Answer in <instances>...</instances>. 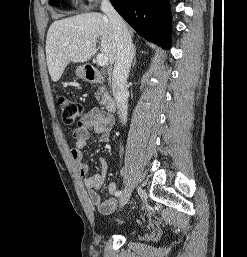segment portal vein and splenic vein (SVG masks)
<instances>
[{
    "label": "portal vein and splenic vein",
    "instance_id": "18ae733b",
    "mask_svg": "<svg viewBox=\"0 0 247 257\" xmlns=\"http://www.w3.org/2000/svg\"><path fill=\"white\" fill-rule=\"evenodd\" d=\"M89 41H86V44H88ZM97 63L99 66L104 67L108 64V57L102 53H99L97 55Z\"/></svg>",
    "mask_w": 247,
    "mask_h": 257
}]
</instances>
